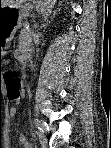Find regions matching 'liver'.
Listing matches in <instances>:
<instances>
[{
  "label": "liver",
  "mask_w": 111,
  "mask_h": 148,
  "mask_svg": "<svg viewBox=\"0 0 111 148\" xmlns=\"http://www.w3.org/2000/svg\"><path fill=\"white\" fill-rule=\"evenodd\" d=\"M24 0H2L3 7H18Z\"/></svg>",
  "instance_id": "6515ba94"
}]
</instances>
